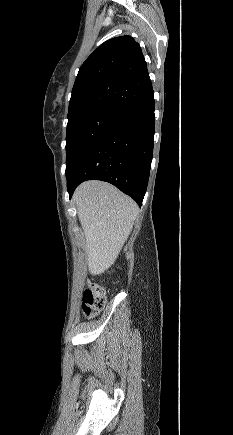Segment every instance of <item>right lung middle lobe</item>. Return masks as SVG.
<instances>
[{"label":"right lung middle lobe","instance_id":"dd1d6c3e","mask_svg":"<svg viewBox=\"0 0 233 435\" xmlns=\"http://www.w3.org/2000/svg\"><path fill=\"white\" fill-rule=\"evenodd\" d=\"M122 112L112 109H96L68 119L66 135V176L77 162L120 117Z\"/></svg>","mask_w":233,"mask_h":435}]
</instances>
